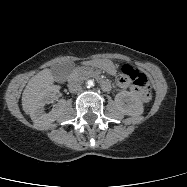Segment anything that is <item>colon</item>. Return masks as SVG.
<instances>
[{
	"label": "colon",
	"instance_id": "5ec220e1",
	"mask_svg": "<svg viewBox=\"0 0 187 187\" xmlns=\"http://www.w3.org/2000/svg\"><path fill=\"white\" fill-rule=\"evenodd\" d=\"M119 77L132 81L133 86L140 93V98L143 101H148L151 96V85L145 74L134 69L130 65H124Z\"/></svg>",
	"mask_w": 187,
	"mask_h": 187
}]
</instances>
